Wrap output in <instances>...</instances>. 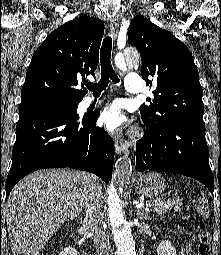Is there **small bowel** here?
Here are the masks:
<instances>
[{
	"label": "small bowel",
	"mask_w": 221,
	"mask_h": 255,
	"mask_svg": "<svg viewBox=\"0 0 221 255\" xmlns=\"http://www.w3.org/2000/svg\"><path fill=\"white\" fill-rule=\"evenodd\" d=\"M181 255H191V245L186 243L181 247Z\"/></svg>",
	"instance_id": "obj_1"
}]
</instances>
